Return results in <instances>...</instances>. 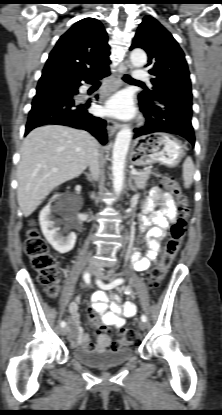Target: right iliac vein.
<instances>
[{
	"label": "right iliac vein",
	"mask_w": 222,
	"mask_h": 415,
	"mask_svg": "<svg viewBox=\"0 0 222 415\" xmlns=\"http://www.w3.org/2000/svg\"><path fill=\"white\" fill-rule=\"evenodd\" d=\"M86 271H87L88 273L93 274V273H94V271H95V268H94L93 266H89V267L86 269ZM60 333H61V335H62V336L67 335V334H68V327H63V328H61Z\"/></svg>",
	"instance_id": "1"
}]
</instances>
